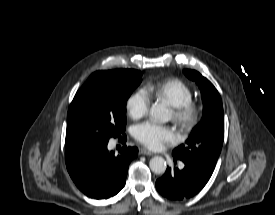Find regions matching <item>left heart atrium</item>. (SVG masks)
I'll list each match as a JSON object with an SVG mask.
<instances>
[{
  "mask_svg": "<svg viewBox=\"0 0 275 215\" xmlns=\"http://www.w3.org/2000/svg\"><path fill=\"white\" fill-rule=\"evenodd\" d=\"M133 135L137 141L151 149H159L164 143H173L177 138L171 127L151 121L136 125Z\"/></svg>",
  "mask_w": 275,
  "mask_h": 215,
  "instance_id": "39dd6f15",
  "label": "left heart atrium"
}]
</instances>
